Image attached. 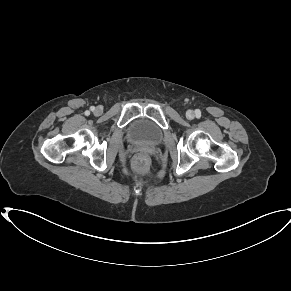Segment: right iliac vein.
I'll use <instances>...</instances> for the list:
<instances>
[{
  "label": "right iliac vein",
  "mask_w": 291,
  "mask_h": 291,
  "mask_svg": "<svg viewBox=\"0 0 291 291\" xmlns=\"http://www.w3.org/2000/svg\"><path fill=\"white\" fill-rule=\"evenodd\" d=\"M101 112H102V110H101V108H96L95 110H94V113L96 114V115H99V114H101Z\"/></svg>",
  "instance_id": "63e3f726"
}]
</instances>
